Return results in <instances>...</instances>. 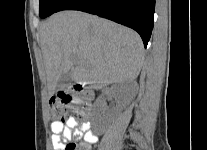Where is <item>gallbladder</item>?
Here are the masks:
<instances>
[{"label": "gallbladder", "instance_id": "gallbladder-1", "mask_svg": "<svg viewBox=\"0 0 207 150\" xmlns=\"http://www.w3.org/2000/svg\"><path fill=\"white\" fill-rule=\"evenodd\" d=\"M72 80L71 73L67 72L60 78L57 83V90L66 89Z\"/></svg>", "mask_w": 207, "mask_h": 150}]
</instances>
